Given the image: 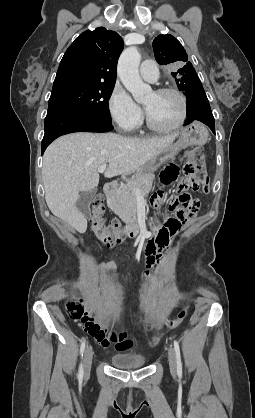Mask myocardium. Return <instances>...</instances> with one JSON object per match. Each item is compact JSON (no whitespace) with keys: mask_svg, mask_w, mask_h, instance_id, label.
Segmentation results:
<instances>
[{"mask_svg":"<svg viewBox=\"0 0 255 418\" xmlns=\"http://www.w3.org/2000/svg\"><path fill=\"white\" fill-rule=\"evenodd\" d=\"M155 93H157V94L172 93V94L176 95L181 102V115H180L179 120L175 124H173L171 126H168V127H161V126H158L155 123H153V121L151 120V118L148 115L147 110L145 109V122H146L147 127L150 130H152L154 132H158V133H168V132H172V131L177 130L178 128H180L185 123V121L187 119L188 102H187L186 96L181 91H179L178 89L173 88V87H161V88H158L157 90H155Z\"/></svg>","mask_w":255,"mask_h":418,"instance_id":"1","label":"myocardium"}]
</instances>
